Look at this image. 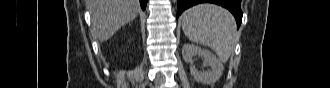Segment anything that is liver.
Wrapping results in <instances>:
<instances>
[{
  "mask_svg": "<svg viewBox=\"0 0 330 88\" xmlns=\"http://www.w3.org/2000/svg\"><path fill=\"white\" fill-rule=\"evenodd\" d=\"M91 13L92 33L101 42L110 39L138 14V0H87Z\"/></svg>",
  "mask_w": 330,
  "mask_h": 88,
  "instance_id": "liver-1",
  "label": "liver"
}]
</instances>
